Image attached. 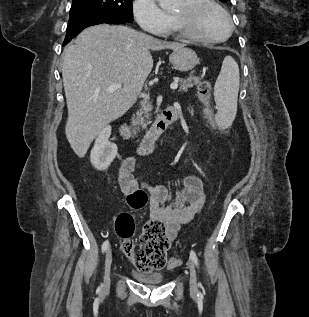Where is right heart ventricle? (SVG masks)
Returning <instances> with one entry per match:
<instances>
[{
    "mask_svg": "<svg viewBox=\"0 0 309 317\" xmlns=\"http://www.w3.org/2000/svg\"><path fill=\"white\" fill-rule=\"evenodd\" d=\"M192 0H184V2H191ZM170 17V20H171V29L175 30L176 27H175V24H174V20H173V17L172 16H169Z\"/></svg>",
    "mask_w": 309,
    "mask_h": 317,
    "instance_id": "e07e8e85",
    "label": "right heart ventricle"
}]
</instances>
